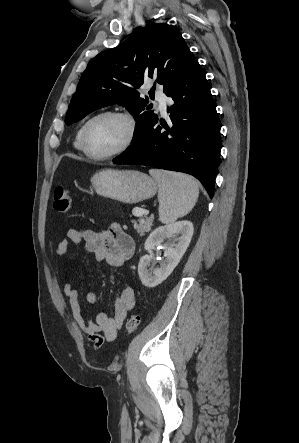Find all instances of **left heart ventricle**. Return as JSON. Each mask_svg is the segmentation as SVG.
Instances as JSON below:
<instances>
[{
    "label": "left heart ventricle",
    "mask_w": 299,
    "mask_h": 443,
    "mask_svg": "<svg viewBox=\"0 0 299 443\" xmlns=\"http://www.w3.org/2000/svg\"><path fill=\"white\" fill-rule=\"evenodd\" d=\"M127 131L124 120L112 116L101 117L92 122L87 130V146L97 155L112 152L122 145Z\"/></svg>",
    "instance_id": "obj_1"
}]
</instances>
